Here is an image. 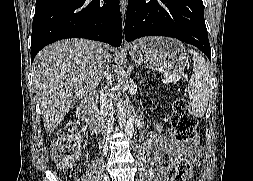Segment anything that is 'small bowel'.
<instances>
[{"mask_svg":"<svg viewBox=\"0 0 253 181\" xmlns=\"http://www.w3.org/2000/svg\"><path fill=\"white\" fill-rule=\"evenodd\" d=\"M147 153L156 169V178L159 181H167L169 176L176 171L181 160L190 159L197 164L202 154L201 148L195 142H179L170 134L164 133L151 135Z\"/></svg>","mask_w":253,"mask_h":181,"instance_id":"small-bowel-1","label":"small bowel"}]
</instances>
